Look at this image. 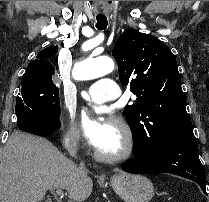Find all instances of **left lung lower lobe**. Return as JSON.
I'll return each mask as SVG.
<instances>
[{
    "mask_svg": "<svg viewBox=\"0 0 209 202\" xmlns=\"http://www.w3.org/2000/svg\"><path fill=\"white\" fill-rule=\"evenodd\" d=\"M134 158L122 170L134 174L171 173L198 183L206 194V176L198 157L193 131L168 139L161 147L150 149L133 144Z\"/></svg>",
    "mask_w": 209,
    "mask_h": 202,
    "instance_id": "left-lung-lower-lobe-1",
    "label": "left lung lower lobe"
}]
</instances>
